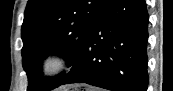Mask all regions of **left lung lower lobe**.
Returning <instances> with one entry per match:
<instances>
[{
	"label": "left lung lower lobe",
	"mask_w": 173,
	"mask_h": 91,
	"mask_svg": "<svg viewBox=\"0 0 173 91\" xmlns=\"http://www.w3.org/2000/svg\"><path fill=\"white\" fill-rule=\"evenodd\" d=\"M148 21L144 0H109L58 86L87 83L112 91H146Z\"/></svg>",
	"instance_id": "0a47b994"
}]
</instances>
